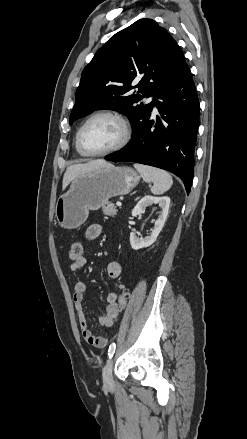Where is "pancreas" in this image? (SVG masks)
<instances>
[{
  "mask_svg": "<svg viewBox=\"0 0 247 439\" xmlns=\"http://www.w3.org/2000/svg\"><path fill=\"white\" fill-rule=\"evenodd\" d=\"M102 210L107 216L114 217L117 214V209L113 202H107L106 205L102 207Z\"/></svg>",
  "mask_w": 247,
  "mask_h": 439,
  "instance_id": "obj_1",
  "label": "pancreas"
}]
</instances>
